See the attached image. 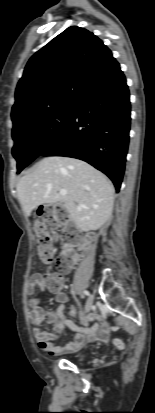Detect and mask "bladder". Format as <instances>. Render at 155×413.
I'll return each mask as SVG.
<instances>
[{"mask_svg":"<svg viewBox=\"0 0 155 413\" xmlns=\"http://www.w3.org/2000/svg\"><path fill=\"white\" fill-rule=\"evenodd\" d=\"M81 358H82L81 356H78L76 359H77V360H80Z\"/></svg>","mask_w":155,"mask_h":413,"instance_id":"obj_1","label":"bladder"}]
</instances>
